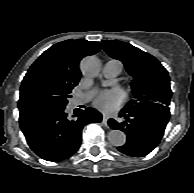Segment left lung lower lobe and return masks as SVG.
Masks as SVG:
<instances>
[{"label": "left lung lower lobe", "instance_id": "1", "mask_svg": "<svg viewBox=\"0 0 194 193\" xmlns=\"http://www.w3.org/2000/svg\"><path fill=\"white\" fill-rule=\"evenodd\" d=\"M168 106L125 110L119 117L124 121L119 123L114 119L108 121L112 129L126 133L127 141L118 150L128 156L142 157L149 154L160 142L169 121Z\"/></svg>", "mask_w": 194, "mask_h": 193}]
</instances>
